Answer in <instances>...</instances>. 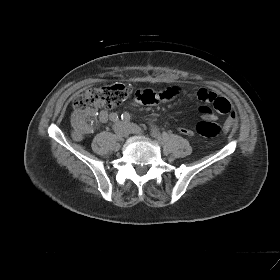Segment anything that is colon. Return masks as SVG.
<instances>
[{"mask_svg": "<svg viewBox=\"0 0 280 280\" xmlns=\"http://www.w3.org/2000/svg\"><path fill=\"white\" fill-rule=\"evenodd\" d=\"M130 94V85L118 82L87 89L75 97L73 104L77 111L84 113L86 122L93 125L99 109L116 107L125 101ZM224 130V126L210 120L199 122L196 125V131L204 137H216Z\"/></svg>", "mask_w": 280, "mask_h": 280, "instance_id": "5ec220e1", "label": "colon"}]
</instances>
